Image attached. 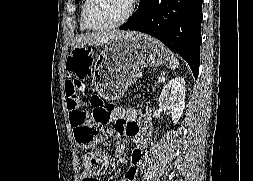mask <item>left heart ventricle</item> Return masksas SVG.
<instances>
[{"mask_svg": "<svg viewBox=\"0 0 253 181\" xmlns=\"http://www.w3.org/2000/svg\"><path fill=\"white\" fill-rule=\"evenodd\" d=\"M130 0H92L88 10V19L96 26L114 23L120 20L129 9Z\"/></svg>", "mask_w": 253, "mask_h": 181, "instance_id": "1", "label": "left heart ventricle"}]
</instances>
